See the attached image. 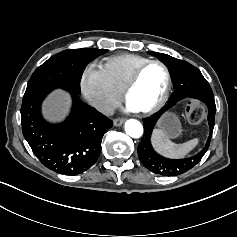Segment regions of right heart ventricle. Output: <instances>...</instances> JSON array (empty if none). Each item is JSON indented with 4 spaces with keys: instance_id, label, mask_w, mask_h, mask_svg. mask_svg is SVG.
I'll use <instances>...</instances> for the list:
<instances>
[{
    "instance_id": "obj_1",
    "label": "right heart ventricle",
    "mask_w": 237,
    "mask_h": 237,
    "mask_svg": "<svg viewBox=\"0 0 237 237\" xmlns=\"http://www.w3.org/2000/svg\"><path fill=\"white\" fill-rule=\"evenodd\" d=\"M147 61L146 57L126 53L107 57L102 68L112 85L121 92L135 71Z\"/></svg>"
}]
</instances>
